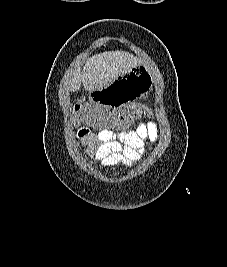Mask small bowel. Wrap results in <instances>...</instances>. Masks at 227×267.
Instances as JSON below:
<instances>
[{"label": "small bowel", "instance_id": "c3829d8e", "mask_svg": "<svg viewBox=\"0 0 227 267\" xmlns=\"http://www.w3.org/2000/svg\"><path fill=\"white\" fill-rule=\"evenodd\" d=\"M77 135L89 158L100 161L105 167L117 164L131 166L142 157L145 142L157 140L159 129L157 124L150 120L139 121L135 128L100 130L97 134H92L87 127H82Z\"/></svg>", "mask_w": 227, "mask_h": 267}]
</instances>
